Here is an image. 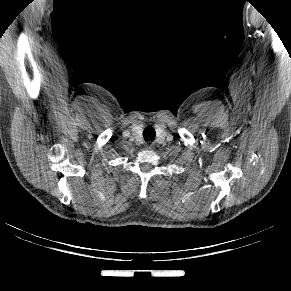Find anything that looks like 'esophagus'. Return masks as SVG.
Here are the masks:
<instances>
[{
	"label": "esophagus",
	"mask_w": 291,
	"mask_h": 291,
	"mask_svg": "<svg viewBox=\"0 0 291 291\" xmlns=\"http://www.w3.org/2000/svg\"><path fill=\"white\" fill-rule=\"evenodd\" d=\"M153 146H154L153 143H147V144H146V148H147V149H152Z\"/></svg>",
	"instance_id": "34e87169"
}]
</instances>
